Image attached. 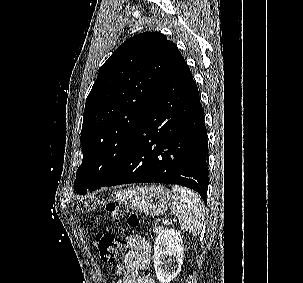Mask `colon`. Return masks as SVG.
<instances>
[{
  "mask_svg": "<svg viewBox=\"0 0 303 283\" xmlns=\"http://www.w3.org/2000/svg\"><path fill=\"white\" fill-rule=\"evenodd\" d=\"M107 210L112 213L114 220L119 221L122 217H125L129 226L134 227L137 225L138 219L135 214L118 212L114 203H109ZM96 243L100 257L106 263H114L117 261L125 249L124 240L108 230L97 233Z\"/></svg>",
  "mask_w": 303,
  "mask_h": 283,
  "instance_id": "1",
  "label": "colon"
}]
</instances>
